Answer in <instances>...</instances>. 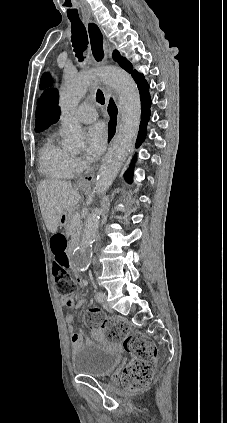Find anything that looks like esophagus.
I'll list each match as a JSON object with an SVG mask.
<instances>
[{
    "label": "esophagus",
    "mask_w": 227,
    "mask_h": 423,
    "mask_svg": "<svg viewBox=\"0 0 227 423\" xmlns=\"http://www.w3.org/2000/svg\"><path fill=\"white\" fill-rule=\"evenodd\" d=\"M86 27L88 32L89 50L95 65H103L108 61L110 55L109 45L105 39L103 30L95 20H86ZM106 92V106L105 110L108 116L109 131L106 136V146L114 142L117 134L116 128L119 124L120 109L116 97L112 90L107 88ZM97 171L84 175L79 182L83 184H92L95 181Z\"/></svg>",
    "instance_id": "1"
}]
</instances>
